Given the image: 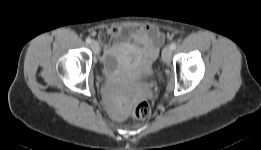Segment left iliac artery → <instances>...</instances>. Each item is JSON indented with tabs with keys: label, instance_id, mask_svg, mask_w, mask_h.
Wrapping results in <instances>:
<instances>
[{
	"label": "left iliac artery",
	"instance_id": "left-iliac-artery-1",
	"mask_svg": "<svg viewBox=\"0 0 261 150\" xmlns=\"http://www.w3.org/2000/svg\"><path fill=\"white\" fill-rule=\"evenodd\" d=\"M170 48H171L172 50H174V49L176 48V43H175V42L171 43Z\"/></svg>",
	"mask_w": 261,
	"mask_h": 150
}]
</instances>
